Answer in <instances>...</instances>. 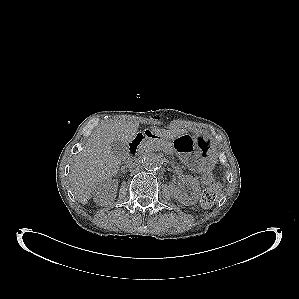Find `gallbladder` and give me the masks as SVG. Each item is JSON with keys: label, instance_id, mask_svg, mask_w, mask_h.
<instances>
[{"label": "gallbladder", "instance_id": "1", "mask_svg": "<svg viewBox=\"0 0 299 299\" xmlns=\"http://www.w3.org/2000/svg\"><path fill=\"white\" fill-rule=\"evenodd\" d=\"M111 150L118 158H122L127 155V146L121 141H114L112 143Z\"/></svg>", "mask_w": 299, "mask_h": 299}]
</instances>
